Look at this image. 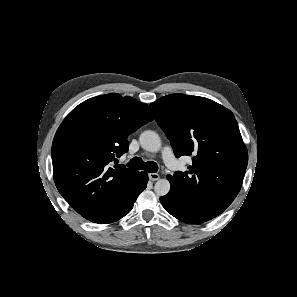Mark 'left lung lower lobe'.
<instances>
[{
    "label": "left lung lower lobe",
    "mask_w": 297,
    "mask_h": 297,
    "mask_svg": "<svg viewBox=\"0 0 297 297\" xmlns=\"http://www.w3.org/2000/svg\"><path fill=\"white\" fill-rule=\"evenodd\" d=\"M160 201L168 213L185 223L200 224L215 218L185 201L176 191L170 190L166 196L160 198Z\"/></svg>",
    "instance_id": "left-lung-lower-lobe-1"
}]
</instances>
